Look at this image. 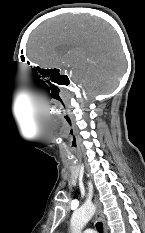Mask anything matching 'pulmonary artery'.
Here are the masks:
<instances>
[{
	"mask_svg": "<svg viewBox=\"0 0 145 233\" xmlns=\"http://www.w3.org/2000/svg\"><path fill=\"white\" fill-rule=\"evenodd\" d=\"M83 233H96V232L92 229H86V230H84Z\"/></svg>",
	"mask_w": 145,
	"mask_h": 233,
	"instance_id": "pulmonary-artery-1",
	"label": "pulmonary artery"
}]
</instances>
